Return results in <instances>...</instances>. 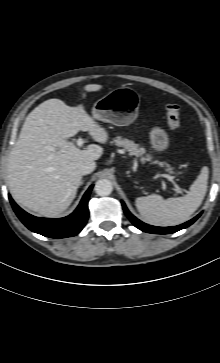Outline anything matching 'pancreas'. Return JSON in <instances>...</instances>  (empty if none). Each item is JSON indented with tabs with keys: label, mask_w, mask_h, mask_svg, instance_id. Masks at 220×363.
Instances as JSON below:
<instances>
[{
	"label": "pancreas",
	"mask_w": 220,
	"mask_h": 363,
	"mask_svg": "<svg viewBox=\"0 0 220 363\" xmlns=\"http://www.w3.org/2000/svg\"><path fill=\"white\" fill-rule=\"evenodd\" d=\"M112 143H114L118 147H123L126 151L129 152L130 155L140 156V161L144 163L145 161L151 160L149 155L144 157L146 151L143 147H140L138 144L130 141L128 139L122 138L120 136L113 139ZM160 165H164L163 163H159ZM170 173H173V168L168 166L167 169Z\"/></svg>",
	"instance_id": "cf45deb5"
}]
</instances>
